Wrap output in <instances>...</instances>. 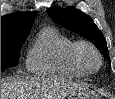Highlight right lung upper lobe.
Listing matches in <instances>:
<instances>
[{"label": "right lung upper lobe", "mask_w": 115, "mask_h": 99, "mask_svg": "<svg viewBox=\"0 0 115 99\" xmlns=\"http://www.w3.org/2000/svg\"><path fill=\"white\" fill-rule=\"evenodd\" d=\"M36 11L13 13L1 18V36L29 34Z\"/></svg>", "instance_id": "1"}]
</instances>
